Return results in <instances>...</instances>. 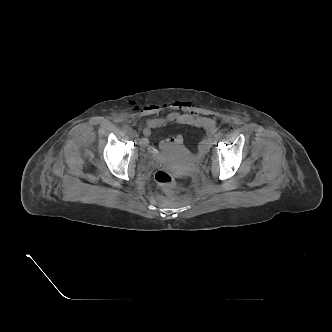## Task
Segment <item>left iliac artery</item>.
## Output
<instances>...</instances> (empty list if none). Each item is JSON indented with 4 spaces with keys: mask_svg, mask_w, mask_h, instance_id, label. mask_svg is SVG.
Returning <instances> with one entry per match:
<instances>
[{
    "mask_svg": "<svg viewBox=\"0 0 332 332\" xmlns=\"http://www.w3.org/2000/svg\"><path fill=\"white\" fill-rule=\"evenodd\" d=\"M220 137H222L223 135H224V131H219L218 133H217Z\"/></svg>",
    "mask_w": 332,
    "mask_h": 332,
    "instance_id": "1",
    "label": "left iliac artery"
}]
</instances>
